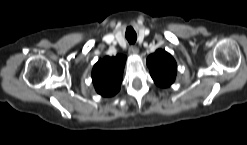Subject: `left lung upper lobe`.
<instances>
[{
	"label": "left lung upper lobe",
	"instance_id": "1",
	"mask_svg": "<svg viewBox=\"0 0 247 145\" xmlns=\"http://www.w3.org/2000/svg\"><path fill=\"white\" fill-rule=\"evenodd\" d=\"M152 79L160 87H169L175 80L177 65L165 50H157L147 58Z\"/></svg>",
	"mask_w": 247,
	"mask_h": 145
}]
</instances>
